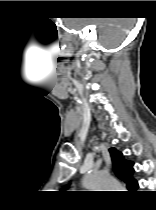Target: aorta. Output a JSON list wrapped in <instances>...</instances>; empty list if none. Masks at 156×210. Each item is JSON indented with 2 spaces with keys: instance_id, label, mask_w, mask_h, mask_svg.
Listing matches in <instances>:
<instances>
[{
  "instance_id": "aorta-1",
  "label": "aorta",
  "mask_w": 156,
  "mask_h": 210,
  "mask_svg": "<svg viewBox=\"0 0 156 210\" xmlns=\"http://www.w3.org/2000/svg\"><path fill=\"white\" fill-rule=\"evenodd\" d=\"M83 186L93 191H121L122 186L111 176L101 172H90L83 177Z\"/></svg>"
}]
</instances>
